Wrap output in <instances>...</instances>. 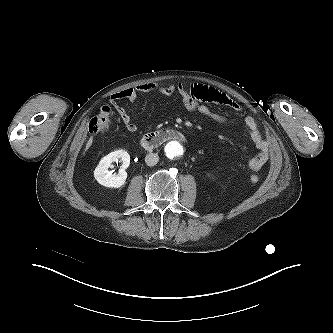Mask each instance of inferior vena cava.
Masks as SVG:
<instances>
[{
    "instance_id": "602c4592",
    "label": "inferior vena cava",
    "mask_w": 333,
    "mask_h": 333,
    "mask_svg": "<svg viewBox=\"0 0 333 333\" xmlns=\"http://www.w3.org/2000/svg\"><path fill=\"white\" fill-rule=\"evenodd\" d=\"M158 161H159V156L155 153H149L145 157V163L148 166H154L158 163Z\"/></svg>"
}]
</instances>
